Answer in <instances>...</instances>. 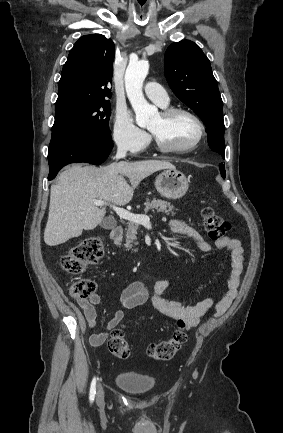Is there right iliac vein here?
Segmentation results:
<instances>
[{
    "label": "right iliac vein",
    "instance_id": "right-iliac-vein-1",
    "mask_svg": "<svg viewBox=\"0 0 283 433\" xmlns=\"http://www.w3.org/2000/svg\"><path fill=\"white\" fill-rule=\"evenodd\" d=\"M104 400V392L101 385L98 386L97 390V404L100 405Z\"/></svg>",
    "mask_w": 283,
    "mask_h": 433
}]
</instances>
